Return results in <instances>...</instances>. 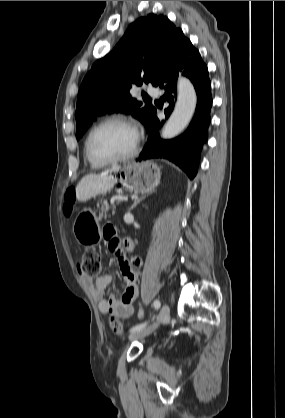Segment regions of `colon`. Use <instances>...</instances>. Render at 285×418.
I'll return each mask as SVG.
<instances>
[{
  "instance_id": "1",
  "label": "colon",
  "mask_w": 285,
  "mask_h": 418,
  "mask_svg": "<svg viewBox=\"0 0 285 418\" xmlns=\"http://www.w3.org/2000/svg\"><path fill=\"white\" fill-rule=\"evenodd\" d=\"M71 191L67 190L65 194V204L63 212L65 216L69 217L72 213V199ZM116 255L122 257V251L118 250ZM78 271L83 277L94 278L99 275L101 271V263L98 255L94 252L84 253L77 262ZM109 328L115 333H122V324L114 317H110Z\"/></svg>"
}]
</instances>
